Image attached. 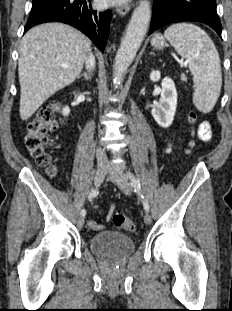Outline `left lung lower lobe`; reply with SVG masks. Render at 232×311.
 Listing matches in <instances>:
<instances>
[{
  "mask_svg": "<svg viewBox=\"0 0 232 311\" xmlns=\"http://www.w3.org/2000/svg\"><path fill=\"white\" fill-rule=\"evenodd\" d=\"M183 21L205 23L221 37L216 0H154L149 34L170 23Z\"/></svg>",
  "mask_w": 232,
  "mask_h": 311,
  "instance_id": "0a47b994",
  "label": "left lung lower lobe"
}]
</instances>
